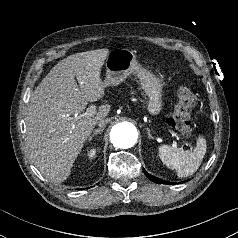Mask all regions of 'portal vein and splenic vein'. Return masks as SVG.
<instances>
[{
  "mask_svg": "<svg viewBox=\"0 0 238 238\" xmlns=\"http://www.w3.org/2000/svg\"><path fill=\"white\" fill-rule=\"evenodd\" d=\"M96 113V108L95 106L91 105L87 108L85 115H94ZM74 117H77V115H74ZM185 145H189L187 142H185ZM173 147H177L176 142H173Z\"/></svg>",
  "mask_w": 238,
  "mask_h": 238,
  "instance_id": "1",
  "label": "portal vein and splenic vein"
}]
</instances>
